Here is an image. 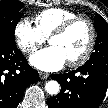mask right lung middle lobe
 <instances>
[{"instance_id":"obj_1","label":"right lung middle lobe","mask_w":108,"mask_h":108,"mask_svg":"<svg viewBox=\"0 0 108 108\" xmlns=\"http://www.w3.org/2000/svg\"><path fill=\"white\" fill-rule=\"evenodd\" d=\"M24 6L16 0L0 1V41L15 45L14 32L21 19L19 10Z\"/></svg>"}]
</instances>
